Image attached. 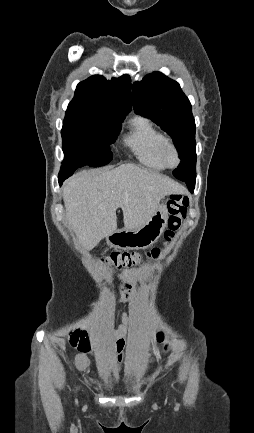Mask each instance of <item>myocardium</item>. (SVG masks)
I'll return each instance as SVG.
<instances>
[{"instance_id": "myocardium-1", "label": "myocardium", "mask_w": 254, "mask_h": 433, "mask_svg": "<svg viewBox=\"0 0 254 433\" xmlns=\"http://www.w3.org/2000/svg\"><path fill=\"white\" fill-rule=\"evenodd\" d=\"M166 147H170L173 150V152L175 153V156H176V159H177V162H176L175 165H170V164H168L166 162L165 157H164V150H165ZM158 156H159L160 160L162 161V163L167 168H175L181 162L180 153H179V150H178L176 144L171 139H168V138H164L160 142L159 147H158Z\"/></svg>"}]
</instances>
